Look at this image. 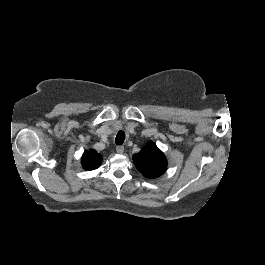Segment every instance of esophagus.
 Returning a JSON list of instances; mask_svg holds the SVG:
<instances>
[{"instance_id":"1","label":"esophagus","mask_w":265,"mask_h":265,"mask_svg":"<svg viewBox=\"0 0 265 265\" xmlns=\"http://www.w3.org/2000/svg\"><path fill=\"white\" fill-rule=\"evenodd\" d=\"M116 151L118 154H122L124 152V146L123 145H117Z\"/></svg>"}]
</instances>
